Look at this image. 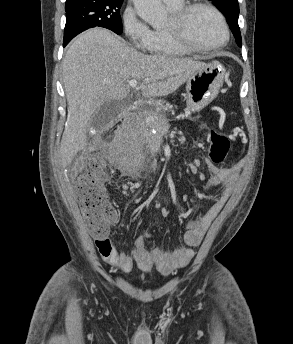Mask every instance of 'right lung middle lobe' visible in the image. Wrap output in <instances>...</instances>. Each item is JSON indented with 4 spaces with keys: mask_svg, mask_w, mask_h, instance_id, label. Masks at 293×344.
<instances>
[{
    "mask_svg": "<svg viewBox=\"0 0 293 344\" xmlns=\"http://www.w3.org/2000/svg\"><path fill=\"white\" fill-rule=\"evenodd\" d=\"M122 3L123 0H79L66 3L63 45H67L76 35L93 27H104L120 35Z\"/></svg>",
    "mask_w": 293,
    "mask_h": 344,
    "instance_id": "right-lung-middle-lobe-1",
    "label": "right lung middle lobe"
}]
</instances>
